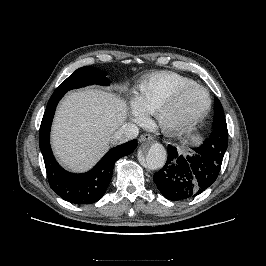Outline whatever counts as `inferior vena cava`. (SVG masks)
Segmentation results:
<instances>
[{
	"instance_id": "1",
	"label": "inferior vena cava",
	"mask_w": 266,
	"mask_h": 266,
	"mask_svg": "<svg viewBox=\"0 0 266 266\" xmlns=\"http://www.w3.org/2000/svg\"><path fill=\"white\" fill-rule=\"evenodd\" d=\"M139 134V128L133 123H124L112 136L111 141L114 144H121L136 138Z\"/></svg>"
}]
</instances>
